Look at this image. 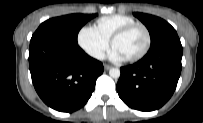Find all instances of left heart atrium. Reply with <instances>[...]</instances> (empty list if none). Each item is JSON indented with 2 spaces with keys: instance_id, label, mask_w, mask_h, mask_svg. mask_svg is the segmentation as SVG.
<instances>
[{
  "instance_id": "left-heart-atrium-1",
  "label": "left heart atrium",
  "mask_w": 203,
  "mask_h": 123,
  "mask_svg": "<svg viewBox=\"0 0 203 123\" xmlns=\"http://www.w3.org/2000/svg\"><path fill=\"white\" fill-rule=\"evenodd\" d=\"M109 58L111 60H113V61H116V62H120V61L126 60V58L114 47L109 52Z\"/></svg>"
}]
</instances>
